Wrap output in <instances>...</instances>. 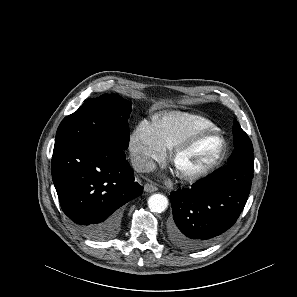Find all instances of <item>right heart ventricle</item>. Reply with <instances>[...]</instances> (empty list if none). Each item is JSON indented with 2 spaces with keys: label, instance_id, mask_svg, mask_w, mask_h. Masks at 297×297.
<instances>
[{
  "label": "right heart ventricle",
  "instance_id": "1",
  "mask_svg": "<svg viewBox=\"0 0 297 297\" xmlns=\"http://www.w3.org/2000/svg\"><path fill=\"white\" fill-rule=\"evenodd\" d=\"M153 128L162 145L167 149H173L191 133L216 128V125L197 114L171 111L157 117L153 122Z\"/></svg>",
  "mask_w": 297,
  "mask_h": 297
}]
</instances>
